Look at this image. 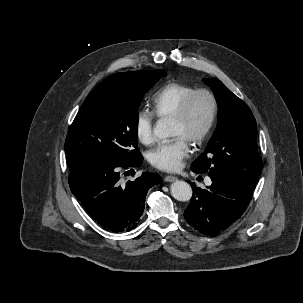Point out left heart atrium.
Segmentation results:
<instances>
[{
    "label": "left heart atrium",
    "mask_w": 303,
    "mask_h": 303,
    "mask_svg": "<svg viewBox=\"0 0 303 303\" xmlns=\"http://www.w3.org/2000/svg\"><path fill=\"white\" fill-rule=\"evenodd\" d=\"M189 152L188 141L182 136H177L171 142L155 148L149 154V162L160 170L172 172L180 169Z\"/></svg>",
    "instance_id": "1"
}]
</instances>
